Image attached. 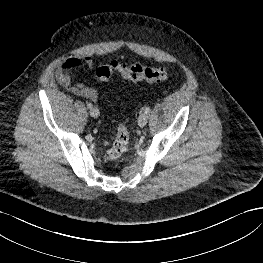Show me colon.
<instances>
[{
	"label": "colon",
	"instance_id": "1",
	"mask_svg": "<svg viewBox=\"0 0 263 263\" xmlns=\"http://www.w3.org/2000/svg\"><path fill=\"white\" fill-rule=\"evenodd\" d=\"M167 66L150 67L139 63L123 64L112 61L109 64L102 65L96 69V76L102 81L111 78L113 74H118L124 79L131 81L160 82L165 80L169 75ZM129 143V131L125 124H120L117 133L110 143L107 154L110 159H118L127 151Z\"/></svg>",
	"mask_w": 263,
	"mask_h": 263
}]
</instances>
